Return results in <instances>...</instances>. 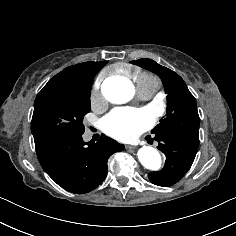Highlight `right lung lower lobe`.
Masks as SVG:
<instances>
[{"label": "right lung lower lobe", "instance_id": "1", "mask_svg": "<svg viewBox=\"0 0 236 236\" xmlns=\"http://www.w3.org/2000/svg\"><path fill=\"white\" fill-rule=\"evenodd\" d=\"M102 135L88 143L82 134H56L34 140L37 157L59 186L72 193L89 192L105 179L109 156L124 149L123 144Z\"/></svg>", "mask_w": 236, "mask_h": 236}]
</instances>
